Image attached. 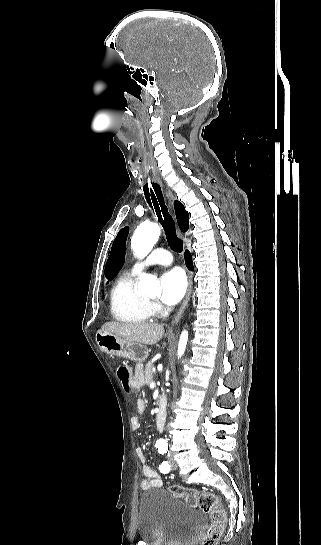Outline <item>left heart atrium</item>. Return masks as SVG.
Segmentation results:
<instances>
[{"instance_id": "left-heart-atrium-1", "label": "left heart atrium", "mask_w": 321, "mask_h": 545, "mask_svg": "<svg viewBox=\"0 0 321 545\" xmlns=\"http://www.w3.org/2000/svg\"><path fill=\"white\" fill-rule=\"evenodd\" d=\"M161 304L171 308L184 296L187 280L180 269L174 268L165 271L160 277Z\"/></svg>"}]
</instances>
